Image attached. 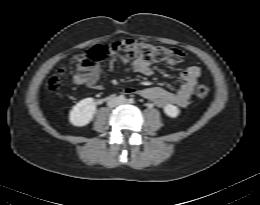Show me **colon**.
Returning <instances> with one entry per match:
<instances>
[{"label": "colon", "instance_id": "colon-1", "mask_svg": "<svg viewBox=\"0 0 260 205\" xmlns=\"http://www.w3.org/2000/svg\"><path fill=\"white\" fill-rule=\"evenodd\" d=\"M114 51L120 52L126 59L140 58L143 60H154L165 62L170 65H178L184 59L183 52L174 47L153 45L139 40H121L112 45ZM107 54V48L104 46H95L85 53L77 55L72 63L71 68L77 76H86L91 74L98 66L99 62ZM69 71L62 67L47 82V89L54 93L58 91L62 78L67 76ZM194 94L198 98H205L209 94V87L205 83H198L195 86Z\"/></svg>", "mask_w": 260, "mask_h": 205}]
</instances>
